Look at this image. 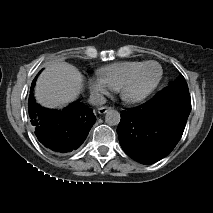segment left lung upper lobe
Segmentation results:
<instances>
[{"label":"left lung upper lobe","instance_id":"5c2ea615","mask_svg":"<svg viewBox=\"0 0 213 213\" xmlns=\"http://www.w3.org/2000/svg\"><path fill=\"white\" fill-rule=\"evenodd\" d=\"M174 83L175 84H180L182 86H187L185 78L182 76V74L179 75L178 79Z\"/></svg>","mask_w":213,"mask_h":213}]
</instances>
